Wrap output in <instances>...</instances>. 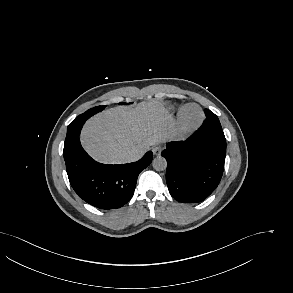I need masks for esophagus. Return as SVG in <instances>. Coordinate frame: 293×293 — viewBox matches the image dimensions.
Instances as JSON below:
<instances>
[{"label":"esophagus","mask_w":293,"mask_h":293,"mask_svg":"<svg viewBox=\"0 0 293 293\" xmlns=\"http://www.w3.org/2000/svg\"><path fill=\"white\" fill-rule=\"evenodd\" d=\"M163 150V147L161 145L155 146L152 148V152L154 155L159 156Z\"/></svg>","instance_id":"1"}]
</instances>
